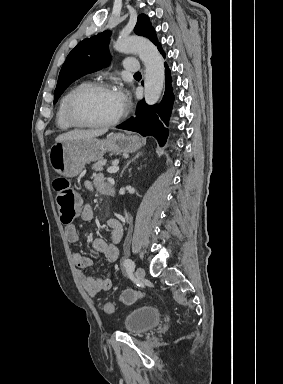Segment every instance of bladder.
I'll use <instances>...</instances> for the list:
<instances>
[{
    "label": "bladder",
    "mask_w": 283,
    "mask_h": 384,
    "mask_svg": "<svg viewBox=\"0 0 283 384\" xmlns=\"http://www.w3.org/2000/svg\"><path fill=\"white\" fill-rule=\"evenodd\" d=\"M160 321L161 314L159 310L143 304L127 311L122 324L126 333L132 336H140L156 327Z\"/></svg>",
    "instance_id": "31cf9c89"
}]
</instances>
